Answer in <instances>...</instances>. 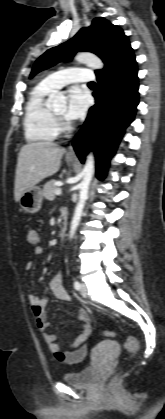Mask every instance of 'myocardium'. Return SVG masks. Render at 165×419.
Returning <instances> with one entry per match:
<instances>
[{
  "mask_svg": "<svg viewBox=\"0 0 165 419\" xmlns=\"http://www.w3.org/2000/svg\"><path fill=\"white\" fill-rule=\"evenodd\" d=\"M53 115H54V117H55L56 121H58V122L62 123V121H63V117H62V115H59V114H57L56 112H53Z\"/></svg>",
  "mask_w": 165,
  "mask_h": 419,
  "instance_id": "myocardium-1",
  "label": "myocardium"
}]
</instances>
